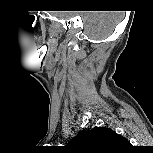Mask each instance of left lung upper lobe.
Here are the masks:
<instances>
[{
	"label": "left lung upper lobe",
	"instance_id": "5c2ea615",
	"mask_svg": "<svg viewBox=\"0 0 153 153\" xmlns=\"http://www.w3.org/2000/svg\"><path fill=\"white\" fill-rule=\"evenodd\" d=\"M68 146L80 153H112L127 148L129 142L111 128L95 127L81 131Z\"/></svg>",
	"mask_w": 153,
	"mask_h": 153
}]
</instances>
